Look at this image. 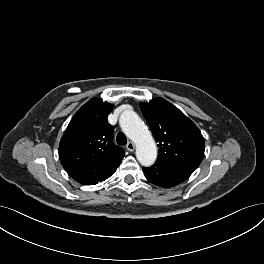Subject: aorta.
I'll list each match as a JSON object with an SVG mask.
<instances>
[{
  "instance_id": "aorta-1",
  "label": "aorta",
  "mask_w": 264,
  "mask_h": 264,
  "mask_svg": "<svg viewBox=\"0 0 264 264\" xmlns=\"http://www.w3.org/2000/svg\"><path fill=\"white\" fill-rule=\"evenodd\" d=\"M119 122L124 133L136 144V157L139 163L151 166L157 158V147L144 122L134 111L123 112Z\"/></svg>"
}]
</instances>
